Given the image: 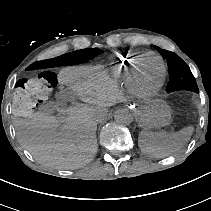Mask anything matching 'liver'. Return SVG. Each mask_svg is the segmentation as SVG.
<instances>
[{
    "label": "liver",
    "mask_w": 211,
    "mask_h": 211,
    "mask_svg": "<svg viewBox=\"0 0 211 211\" xmlns=\"http://www.w3.org/2000/svg\"><path fill=\"white\" fill-rule=\"evenodd\" d=\"M58 83L69 86L84 104L63 111L61 122L43 111L15 122L22 144L42 164L58 169H75L86 165L97 146V114L115 103L119 93L95 80L87 68L74 67L58 75Z\"/></svg>",
    "instance_id": "6515ba94"
}]
</instances>
